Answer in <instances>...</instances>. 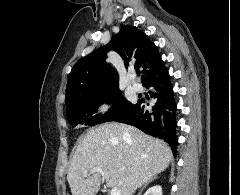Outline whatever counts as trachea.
Segmentation results:
<instances>
[{
	"mask_svg": "<svg viewBox=\"0 0 240 195\" xmlns=\"http://www.w3.org/2000/svg\"><path fill=\"white\" fill-rule=\"evenodd\" d=\"M141 72H137V75H140Z\"/></svg>",
	"mask_w": 240,
	"mask_h": 195,
	"instance_id": "1",
	"label": "trachea"
}]
</instances>
